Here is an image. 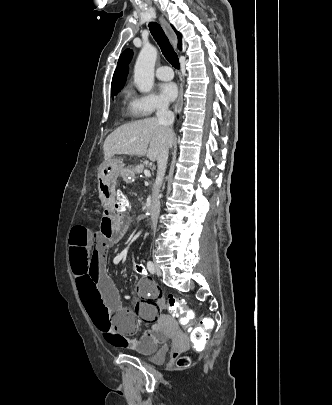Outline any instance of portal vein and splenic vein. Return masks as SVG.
Instances as JSON below:
<instances>
[{"label": "portal vein and splenic vein", "mask_w": 332, "mask_h": 405, "mask_svg": "<svg viewBox=\"0 0 332 405\" xmlns=\"http://www.w3.org/2000/svg\"><path fill=\"white\" fill-rule=\"evenodd\" d=\"M144 174H145L146 177H150V176H151V173H150L149 170H144Z\"/></svg>", "instance_id": "portal-vein-and-splenic-vein-1"}]
</instances>
